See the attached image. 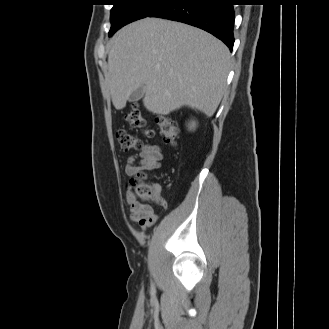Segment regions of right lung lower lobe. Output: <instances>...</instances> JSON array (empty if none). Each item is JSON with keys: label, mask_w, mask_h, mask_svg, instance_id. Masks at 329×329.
Instances as JSON below:
<instances>
[{"label": "right lung lower lobe", "mask_w": 329, "mask_h": 329, "mask_svg": "<svg viewBox=\"0 0 329 329\" xmlns=\"http://www.w3.org/2000/svg\"><path fill=\"white\" fill-rule=\"evenodd\" d=\"M234 0H173L149 17L183 22L201 28L223 41L232 51L234 44Z\"/></svg>", "instance_id": "obj_1"}]
</instances>
